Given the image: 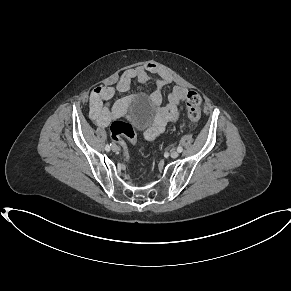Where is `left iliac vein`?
<instances>
[{"mask_svg": "<svg viewBox=\"0 0 291 291\" xmlns=\"http://www.w3.org/2000/svg\"><path fill=\"white\" fill-rule=\"evenodd\" d=\"M170 156H171L172 158H177V157L179 156V152H178V151H172V152L170 153Z\"/></svg>", "mask_w": 291, "mask_h": 291, "instance_id": "obj_1", "label": "left iliac vein"}]
</instances>
